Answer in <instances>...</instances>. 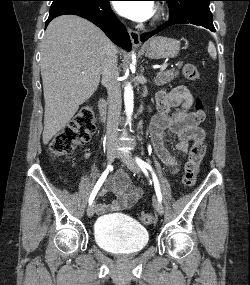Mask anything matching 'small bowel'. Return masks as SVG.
I'll list each match as a JSON object with an SVG mask.
<instances>
[{"mask_svg": "<svg viewBox=\"0 0 250 285\" xmlns=\"http://www.w3.org/2000/svg\"><path fill=\"white\" fill-rule=\"evenodd\" d=\"M194 97L185 86L170 91L161 90L156 95L158 113L150 125V137L155 153L161 162L172 171L179 169V162L168 148L167 136H177L175 150L186 153L192 141H204L205 133L199 126L204 119L202 111H193ZM108 191L116 199L107 204H97V214L124 210L134 205L142 195L140 188L134 187L124 172H119L110 180Z\"/></svg>", "mask_w": 250, "mask_h": 285, "instance_id": "c3829d8e", "label": "small bowel"}]
</instances>
